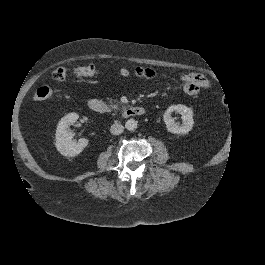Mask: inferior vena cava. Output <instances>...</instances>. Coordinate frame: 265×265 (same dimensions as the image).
<instances>
[{"instance_id":"obj_1","label":"inferior vena cava","mask_w":265,"mask_h":265,"mask_svg":"<svg viewBox=\"0 0 265 265\" xmlns=\"http://www.w3.org/2000/svg\"><path fill=\"white\" fill-rule=\"evenodd\" d=\"M123 126L120 123H114L113 125H111L110 127V133L113 135H119L123 132Z\"/></svg>"}]
</instances>
